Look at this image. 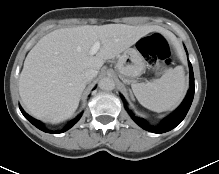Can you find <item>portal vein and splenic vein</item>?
Instances as JSON below:
<instances>
[{
    "mask_svg": "<svg viewBox=\"0 0 219 174\" xmlns=\"http://www.w3.org/2000/svg\"><path fill=\"white\" fill-rule=\"evenodd\" d=\"M99 49H100V43H99V42H95V43L93 44V46L91 47L90 54H91V55L96 54Z\"/></svg>",
    "mask_w": 219,
    "mask_h": 174,
    "instance_id": "obj_1",
    "label": "portal vein and splenic vein"
}]
</instances>
